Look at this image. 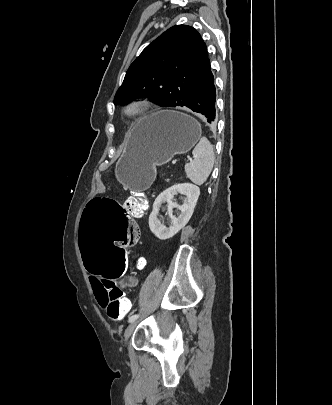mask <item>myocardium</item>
Returning <instances> with one entry per match:
<instances>
[{
  "label": "myocardium",
  "instance_id": "obj_1",
  "mask_svg": "<svg viewBox=\"0 0 332 405\" xmlns=\"http://www.w3.org/2000/svg\"><path fill=\"white\" fill-rule=\"evenodd\" d=\"M151 101L146 97H133L122 108L123 115L131 120H136L147 114Z\"/></svg>",
  "mask_w": 332,
  "mask_h": 405
}]
</instances>
